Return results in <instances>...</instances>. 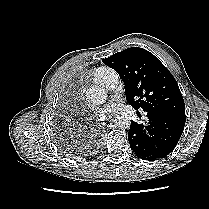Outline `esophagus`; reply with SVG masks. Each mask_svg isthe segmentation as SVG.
Wrapping results in <instances>:
<instances>
[{
	"label": "esophagus",
	"instance_id": "1",
	"mask_svg": "<svg viewBox=\"0 0 209 209\" xmlns=\"http://www.w3.org/2000/svg\"><path fill=\"white\" fill-rule=\"evenodd\" d=\"M113 119H108L106 122H104L103 124H106L108 122H111Z\"/></svg>",
	"mask_w": 209,
	"mask_h": 209
}]
</instances>
